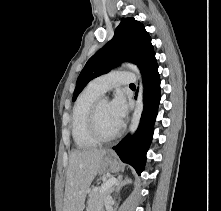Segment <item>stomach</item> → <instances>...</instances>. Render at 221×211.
<instances>
[{"label":"stomach","mask_w":221,"mask_h":211,"mask_svg":"<svg viewBox=\"0 0 221 211\" xmlns=\"http://www.w3.org/2000/svg\"><path fill=\"white\" fill-rule=\"evenodd\" d=\"M120 169H121V165L117 161V159L113 155L108 154L102 158L99 172L102 174H106L110 172L116 173V172H119Z\"/></svg>","instance_id":"0dacf381"}]
</instances>
